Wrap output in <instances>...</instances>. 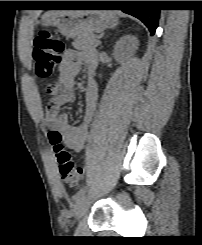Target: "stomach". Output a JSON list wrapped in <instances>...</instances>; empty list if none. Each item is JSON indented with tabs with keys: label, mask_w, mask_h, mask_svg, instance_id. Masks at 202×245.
Segmentation results:
<instances>
[{
	"label": "stomach",
	"mask_w": 202,
	"mask_h": 245,
	"mask_svg": "<svg viewBox=\"0 0 202 245\" xmlns=\"http://www.w3.org/2000/svg\"><path fill=\"white\" fill-rule=\"evenodd\" d=\"M117 24L115 13L107 10L48 11L42 16L43 26L57 27L68 38L82 33L102 32Z\"/></svg>",
	"instance_id": "stomach-1"
}]
</instances>
